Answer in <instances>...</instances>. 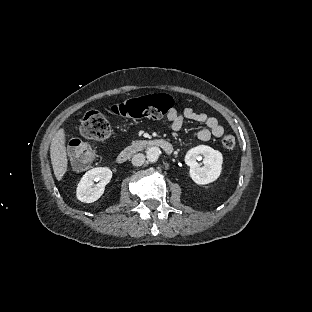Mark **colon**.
<instances>
[{
    "instance_id": "colon-1",
    "label": "colon",
    "mask_w": 312,
    "mask_h": 312,
    "mask_svg": "<svg viewBox=\"0 0 312 312\" xmlns=\"http://www.w3.org/2000/svg\"><path fill=\"white\" fill-rule=\"evenodd\" d=\"M174 106V99L169 94L148 95L138 99L126 100L112 110L120 117L131 119H160ZM79 132L86 138L103 140L111 132V125L106 116L92 109L85 113L79 124ZM226 150H231L236 145V139L232 135H227L222 141ZM72 160L78 166H85L92 158L93 151L89 147H70Z\"/></svg>"
}]
</instances>
